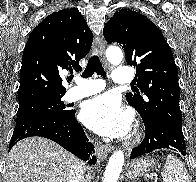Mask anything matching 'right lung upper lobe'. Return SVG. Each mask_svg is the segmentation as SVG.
Listing matches in <instances>:
<instances>
[{
  "label": "right lung upper lobe",
  "instance_id": "right-lung-upper-lobe-1",
  "mask_svg": "<svg viewBox=\"0 0 196 182\" xmlns=\"http://www.w3.org/2000/svg\"><path fill=\"white\" fill-rule=\"evenodd\" d=\"M92 41V32L76 8L47 16L33 29L23 52L19 105L64 96L61 71L79 69Z\"/></svg>",
  "mask_w": 196,
  "mask_h": 182
}]
</instances>
